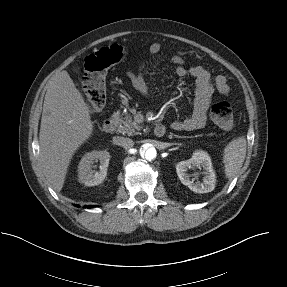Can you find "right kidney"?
<instances>
[{"instance_id":"right-kidney-1","label":"right kidney","mask_w":287,"mask_h":287,"mask_svg":"<svg viewBox=\"0 0 287 287\" xmlns=\"http://www.w3.org/2000/svg\"><path fill=\"white\" fill-rule=\"evenodd\" d=\"M110 154L107 151H92L86 153L78 165L79 182L86 186H95L100 184L107 175ZM100 162L99 171L93 170V164Z\"/></svg>"}]
</instances>
